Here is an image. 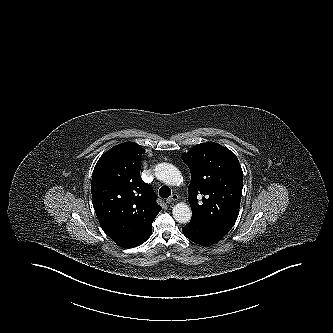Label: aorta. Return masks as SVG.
I'll list each match as a JSON object with an SVG mask.
<instances>
[{
	"instance_id": "1",
	"label": "aorta",
	"mask_w": 333,
	"mask_h": 333,
	"mask_svg": "<svg viewBox=\"0 0 333 333\" xmlns=\"http://www.w3.org/2000/svg\"><path fill=\"white\" fill-rule=\"evenodd\" d=\"M155 176L168 185H178L181 181L180 171L174 165L165 162L156 165ZM172 214L174 219L182 224L188 223L192 216L190 207L184 202L176 204Z\"/></svg>"
}]
</instances>
